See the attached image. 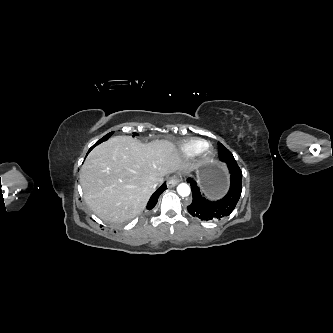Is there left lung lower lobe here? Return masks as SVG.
<instances>
[{"label":"left lung lower lobe","mask_w":333,"mask_h":333,"mask_svg":"<svg viewBox=\"0 0 333 333\" xmlns=\"http://www.w3.org/2000/svg\"><path fill=\"white\" fill-rule=\"evenodd\" d=\"M225 163L231 174V185L227 195L218 201H209L200 192L196 182L192 178L187 179L193 196L192 203L187 209L193 217L203 221H217L234 210L242 192V171L236 161H226Z\"/></svg>","instance_id":"0a47b994"}]
</instances>
